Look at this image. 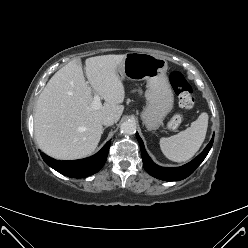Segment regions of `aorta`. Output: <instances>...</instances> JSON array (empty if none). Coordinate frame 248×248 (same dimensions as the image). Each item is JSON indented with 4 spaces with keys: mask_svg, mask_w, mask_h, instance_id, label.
<instances>
[{
    "mask_svg": "<svg viewBox=\"0 0 248 248\" xmlns=\"http://www.w3.org/2000/svg\"><path fill=\"white\" fill-rule=\"evenodd\" d=\"M120 131L123 134L131 135L136 132V124L133 121H125L120 126Z\"/></svg>",
    "mask_w": 248,
    "mask_h": 248,
    "instance_id": "obj_1",
    "label": "aorta"
}]
</instances>
